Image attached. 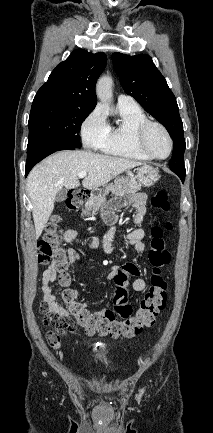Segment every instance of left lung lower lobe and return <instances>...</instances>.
I'll return each mask as SVG.
<instances>
[{
  "instance_id": "0a47b994",
  "label": "left lung lower lobe",
  "mask_w": 213,
  "mask_h": 433,
  "mask_svg": "<svg viewBox=\"0 0 213 433\" xmlns=\"http://www.w3.org/2000/svg\"><path fill=\"white\" fill-rule=\"evenodd\" d=\"M177 175L180 177L181 181L184 183L185 175L184 174H177Z\"/></svg>"
}]
</instances>
